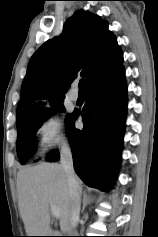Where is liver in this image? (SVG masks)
<instances>
[{"instance_id": "obj_1", "label": "liver", "mask_w": 158, "mask_h": 237, "mask_svg": "<svg viewBox=\"0 0 158 237\" xmlns=\"http://www.w3.org/2000/svg\"><path fill=\"white\" fill-rule=\"evenodd\" d=\"M80 190L81 181L77 178ZM18 205L28 236L55 234L50 227V207L60 210L62 233L69 232L70 197L66 174L60 164L40 163L17 174Z\"/></svg>"}]
</instances>
